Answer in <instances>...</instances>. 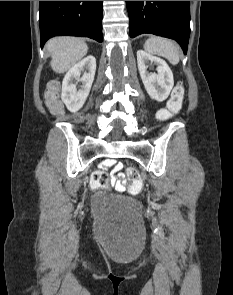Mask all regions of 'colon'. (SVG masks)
Masks as SVG:
<instances>
[{"instance_id": "1", "label": "colon", "mask_w": 233, "mask_h": 295, "mask_svg": "<svg viewBox=\"0 0 233 295\" xmlns=\"http://www.w3.org/2000/svg\"><path fill=\"white\" fill-rule=\"evenodd\" d=\"M184 89L182 85H177L172 93V97L168 102V107L159 112V118L166 120L178 113L181 108L183 100ZM46 102L50 110L55 115L62 113V105L58 98V87L52 84L48 87L46 92ZM127 176L129 179V192L136 194L142 187V177L139 171L133 167L127 169ZM109 177L104 170H95L91 174L90 185L92 188H102L108 184Z\"/></svg>"}]
</instances>
